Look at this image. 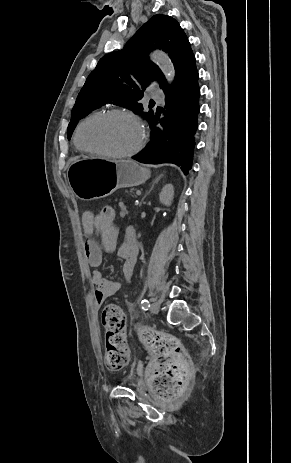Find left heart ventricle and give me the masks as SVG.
Instances as JSON below:
<instances>
[{
    "label": "left heart ventricle",
    "mask_w": 291,
    "mask_h": 463,
    "mask_svg": "<svg viewBox=\"0 0 291 463\" xmlns=\"http://www.w3.org/2000/svg\"><path fill=\"white\" fill-rule=\"evenodd\" d=\"M81 142L91 148L113 152L132 149L138 142L137 126L121 115L100 116L88 121L81 129Z\"/></svg>",
    "instance_id": "obj_1"
}]
</instances>
